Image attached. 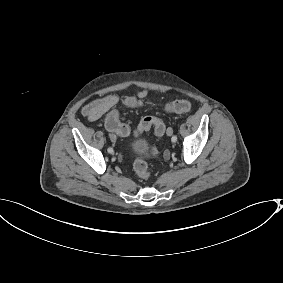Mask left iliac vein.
I'll list each match as a JSON object with an SVG mask.
<instances>
[{"label": "left iliac vein", "mask_w": 283, "mask_h": 283, "mask_svg": "<svg viewBox=\"0 0 283 283\" xmlns=\"http://www.w3.org/2000/svg\"><path fill=\"white\" fill-rule=\"evenodd\" d=\"M172 133H173V129H172V128H168V129H167V135H168V136H171Z\"/></svg>", "instance_id": "obj_1"}]
</instances>
